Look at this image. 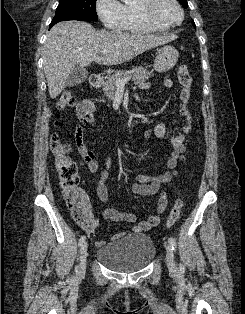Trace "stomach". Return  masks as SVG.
Segmentation results:
<instances>
[{"label":"stomach","mask_w":245,"mask_h":314,"mask_svg":"<svg viewBox=\"0 0 245 314\" xmlns=\"http://www.w3.org/2000/svg\"><path fill=\"white\" fill-rule=\"evenodd\" d=\"M179 53L172 46H163L159 49L153 68L157 72H167L172 69L178 61Z\"/></svg>","instance_id":"obj_1"}]
</instances>
